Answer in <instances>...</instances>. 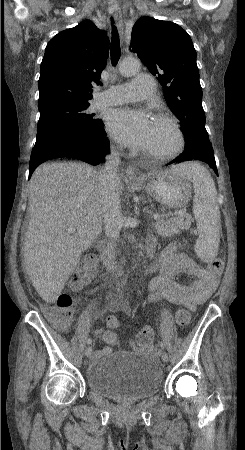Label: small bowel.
Instances as JSON below:
<instances>
[{
    "instance_id": "1",
    "label": "small bowel",
    "mask_w": 245,
    "mask_h": 450,
    "mask_svg": "<svg viewBox=\"0 0 245 450\" xmlns=\"http://www.w3.org/2000/svg\"><path fill=\"white\" fill-rule=\"evenodd\" d=\"M177 248V244L172 242L158 254L157 264L149 269V272L158 270V274L149 283V289L153 293H160L167 301L173 304H184L189 310L194 311L217 288L220 272L215 273L210 269L199 267L192 258L186 254L179 253ZM155 250L156 241L153 237H150L147 241L148 254L151 256L155 255ZM180 274L194 276L196 281L190 286H184L177 280ZM153 300L154 298L151 297L150 302ZM117 327L118 321L114 326H109L111 329ZM94 332L98 333L99 330ZM111 352L112 349L109 346H105L99 349L96 354L108 355Z\"/></svg>"
}]
</instances>
